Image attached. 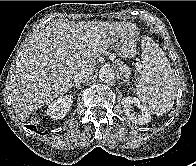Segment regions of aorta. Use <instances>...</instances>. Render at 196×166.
<instances>
[{
    "instance_id": "obj_1",
    "label": "aorta",
    "mask_w": 196,
    "mask_h": 166,
    "mask_svg": "<svg viewBox=\"0 0 196 166\" xmlns=\"http://www.w3.org/2000/svg\"><path fill=\"white\" fill-rule=\"evenodd\" d=\"M99 78L104 82H110L115 78V71L110 65H104L99 70Z\"/></svg>"
}]
</instances>
